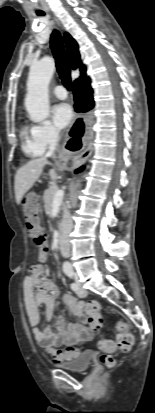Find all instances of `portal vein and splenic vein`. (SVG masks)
Masks as SVG:
<instances>
[{
    "label": "portal vein and splenic vein",
    "instance_id": "18ae733b",
    "mask_svg": "<svg viewBox=\"0 0 155 413\" xmlns=\"http://www.w3.org/2000/svg\"><path fill=\"white\" fill-rule=\"evenodd\" d=\"M64 197V191L58 190L54 196L53 204H61Z\"/></svg>",
    "mask_w": 155,
    "mask_h": 413
}]
</instances>
